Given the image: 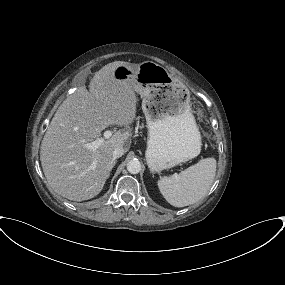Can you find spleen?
Returning a JSON list of instances; mask_svg holds the SVG:
<instances>
[{
  "instance_id": "1",
  "label": "spleen",
  "mask_w": 285,
  "mask_h": 285,
  "mask_svg": "<svg viewBox=\"0 0 285 285\" xmlns=\"http://www.w3.org/2000/svg\"><path fill=\"white\" fill-rule=\"evenodd\" d=\"M216 160L205 158L179 174L161 177L158 188L168 203L185 207L201 200L209 191L216 174Z\"/></svg>"
}]
</instances>
